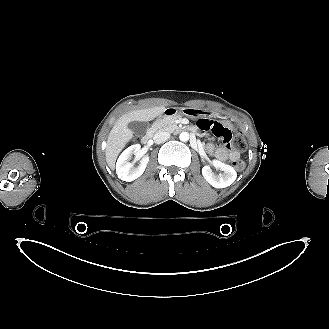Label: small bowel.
<instances>
[{
  "instance_id": "obj_1",
  "label": "small bowel",
  "mask_w": 329,
  "mask_h": 329,
  "mask_svg": "<svg viewBox=\"0 0 329 329\" xmlns=\"http://www.w3.org/2000/svg\"><path fill=\"white\" fill-rule=\"evenodd\" d=\"M194 125L196 129L200 131L204 130L207 133L214 134L218 139H221L223 144H225L217 148L212 143L207 145L208 152L213 153L218 160H238L240 158V153L228 144L232 141L233 134L224 123L214 119L207 120V118L200 116L196 118Z\"/></svg>"
}]
</instances>
